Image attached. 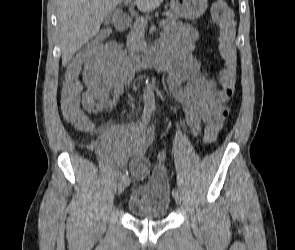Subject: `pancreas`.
Returning <instances> with one entry per match:
<instances>
[{
    "mask_svg": "<svg viewBox=\"0 0 295 250\" xmlns=\"http://www.w3.org/2000/svg\"><path fill=\"white\" fill-rule=\"evenodd\" d=\"M162 15L167 16L165 21V27H169L174 25L178 19V16L173 12H163ZM143 18L147 21L144 17L136 18L134 25L131 27L129 34L127 35V48L130 54V58L132 60L136 59V53L142 51L146 47V43L144 40V26H141L139 20Z\"/></svg>",
    "mask_w": 295,
    "mask_h": 250,
    "instance_id": "cf45deb5",
    "label": "pancreas"
}]
</instances>
